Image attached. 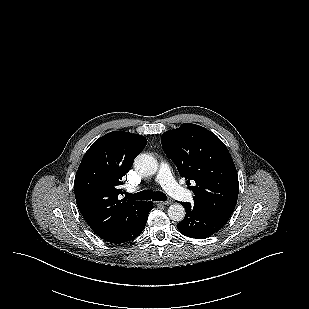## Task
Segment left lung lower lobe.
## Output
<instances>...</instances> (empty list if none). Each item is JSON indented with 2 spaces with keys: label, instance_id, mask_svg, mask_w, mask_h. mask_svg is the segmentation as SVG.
Here are the masks:
<instances>
[{
  "label": "left lung lower lobe",
  "instance_id": "left-lung-lower-lobe-1",
  "mask_svg": "<svg viewBox=\"0 0 309 309\" xmlns=\"http://www.w3.org/2000/svg\"><path fill=\"white\" fill-rule=\"evenodd\" d=\"M186 216L178 225V230L185 236L205 239L218 232L230 216L218 212L200 202L184 203Z\"/></svg>",
  "mask_w": 309,
  "mask_h": 309
}]
</instances>
